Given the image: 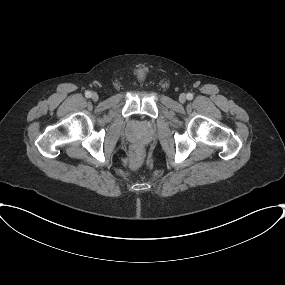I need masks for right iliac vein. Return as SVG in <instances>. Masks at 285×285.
Returning a JSON list of instances; mask_svg holds the SVG:
<instances>
[{"label":"right iliac vein","instance_id":"obj_1","mask_svg":"<svg viewBox=\"0 0 285 285\" xmlns=\"http://www.w3.org/2000/svg\"><path fill=\"white\" fill-rule=\"evenodd\" d=\"M91 97L94 101H97L99 99V96L97 93H93Z\"/></svg>","mask_w":285,"mask_h":285}]
</instances>
